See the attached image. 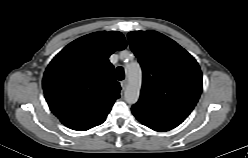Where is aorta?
Instances as JSON below:
<instances>
[{
    "label": "aorta",
    "mask_w": 248,
    "mask_h": 158,
    "mask_svg": "<svg viewBox=\"0 0 248 158\" xmlns=\"http://www.w3.org/2000/svg\"><path fill=\"white\" fill-rule=\"evenodd\" d=\"M125 74L128 80L124 92L125 101L134 104L138 101L142 84V70L138 62H131L125 66Z\"/></svg>",
    "instance_id": "aorta-1"
}]
</instances>
